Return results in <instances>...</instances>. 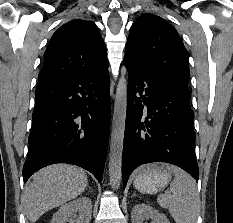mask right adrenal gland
Segmentation results:
<instances>
[{
	"label": "right adrenal gland",
	"instance_id": "1",
	"mask_svg": "<svg viewBox=\"0 0 233 223\" xmlns=\"http://www.w3.org/2000/svg\"><path fill=\"white\" fill-rule=\"evenodd\" d=\"M87 189H90L89 185H88Z\"/></svg>",
	"mask_w": 233,
	"mask_h": 223
}]
</instances>
